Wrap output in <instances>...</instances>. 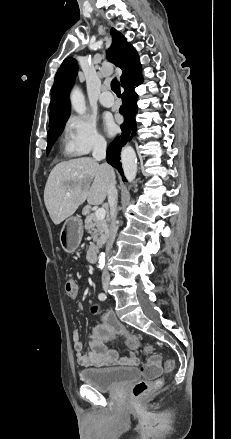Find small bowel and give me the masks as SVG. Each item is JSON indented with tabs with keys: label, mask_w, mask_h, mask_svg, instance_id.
<instances>
[{
	"label": "small bowel",
	"mask_w": 231,
	"mask_h": 439,
	"mask_svg": "<svg viewBox=\"0 0 231 439\" xmlns=\"http://www.w3.org/2000/svg\"><path fill=\"white\" fill-rule=\"evenodd\" d=\"M126 329L112 312L103 315V322L92 327L88 352H84L80 332L74 329L72 332L73 348L77 362L81 367H102L112 365L135 366L138 359L134 353L126 357H119L118 353L108 347V343L116 339L118 335H124Z\"/></svg>",
	"instance_id": "1"
}]
</instances>
